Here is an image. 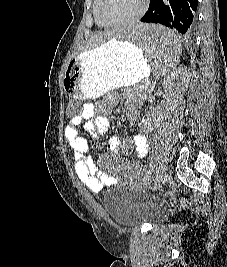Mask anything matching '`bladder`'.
Wrapping results in <instances>:
<instances>
[{"label":"bladder","instance_id":"1","mask_svg":"<svg viewBox=\"0 0 227 267\" xmlns=\"http://www.w3.org/2000/svg\"><path fill=\"white\" fill-rule=\"evenodd\" d=\"M110 218L117 224L157 223L166 216V209L147 202L138 193L123 187L111 189L104 198Z\"/></svg>","mask_w":227,"mask_h":267}]
</instances>
